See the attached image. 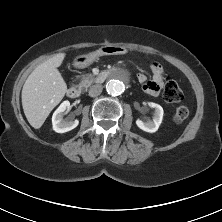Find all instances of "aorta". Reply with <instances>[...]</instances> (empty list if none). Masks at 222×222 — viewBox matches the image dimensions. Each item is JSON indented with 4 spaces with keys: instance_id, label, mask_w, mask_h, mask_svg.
<instances>
[{
    "instance_id": "762f6f07",
    "label": "aorta",
    "mask_w": 222,
    "mask_h": 222,
    "mask_svg": "<svg viewBox=\"0 0 222 222\" xmlns=\"http://www.w3.org/2000/svg\"><path fill=\"white\" fill-rule=\"evenodd\" d=\"M128 81L129 77L127 74L117 73L107 82L106 90L111 95H120L124 92Z\"/></svg>"
}]
</instances>
